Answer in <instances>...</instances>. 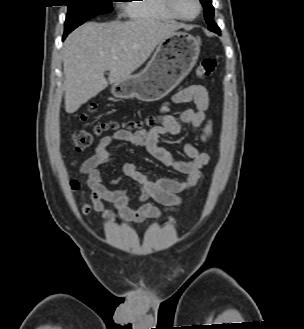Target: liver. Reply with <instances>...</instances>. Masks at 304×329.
I'll list each match as a JSON object with an SVG mask.
<instances>
[{"instance_id": "1", "label": "liver", "mask_w": 304, "mask_h": 329, "mask_svg": "<svg viewBox=\"0 0 304 329\" xmlns=\"http://www.w3.org/2000/svg\"><path fill=\"white\" fill-rule=\"evenodd\" d=\"M181 27L174 22L136 19L88 22L75 29L62 49L66 112H76L107 87L105 71H109L110 84L126 80L163 39Z\"/></svg>"}]
</instances>
